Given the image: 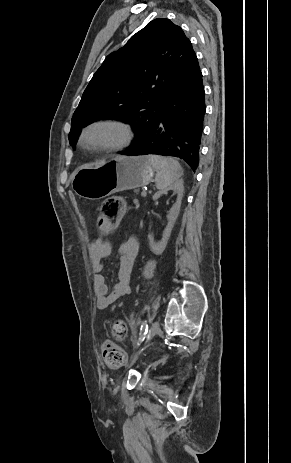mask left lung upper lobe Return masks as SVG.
<instances>
[{
  "mask_svg": "<svg viewBox=\"0 0 291 463\" xmlns=\"http://www.w3.org/2000/svg\"><path fill=\"white\" fill-rule=\"evenodd\" d=\"M190 40L168 19H155L110 53L85 89L75 110L69 142L83 127L101 119L129 123L130 149L146 132L173 90L199 69Z\"/></svg>",
  "mask_w": 291,
  "mask_h": 463,
  "instance_id": "1",
  "label": "left lung upper lobe"
}]
</instances>
